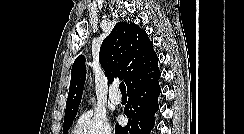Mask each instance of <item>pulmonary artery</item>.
<instances>
[{
    "instance_id": "e3ab8cb5",
    "label": "pulmonary artery",
    "mask_w": 244,
    "mask_h": 134,
    "mask_svg": "<svg viewBox=\"0 0 244 134\" xmlns=\"http://www.w3.org/2000/svg\"><path fill=\"white\" fill-rule=\"evenodd\" d=\"M109 99L113 104L117 105V104L121 103V95L118 92V86L117 85H113L110 88Z\"/></svg>"
}]
</instances>
